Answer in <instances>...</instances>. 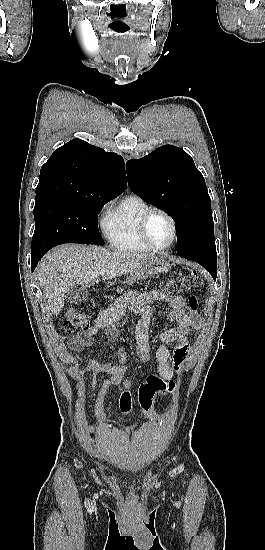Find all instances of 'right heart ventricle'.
<instances>
[{"mask_svg": "<svg viewBox=\"0 0 265 550\" xmlns=\"http://www.w3.org/2000/svg\"><path fill=\"white\" fill-rule=\"evenodd\" d=\"M151 205L137 195L121 200L106 215L103 228L112 247L122 252H147L139 234V221Z\"/></svg>", "mask_w": 265, "mask_h": 550, "instance_id": "right-heart-ventricle-1", "label": "right heart ventricle"}]
</instances>
